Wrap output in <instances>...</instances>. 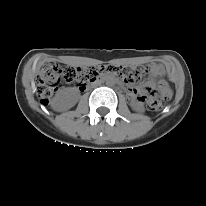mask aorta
<instances>
[{
  "label": "aorta",
  "mask_w": 206,
  "mask_h": 206,
  "mask_svg": "<svg viewBox=\"0 0 206 206\" xmlns=\"http://www.w3.org/2000/svg\"><path fill=\"white\" fill-rule=\"evenodd\" d=\"M106 84H107V85H112V84H113V81H112V80H107V81H106Z\"/></svg>",
  "instance_id": "1"
}]
</instances>
